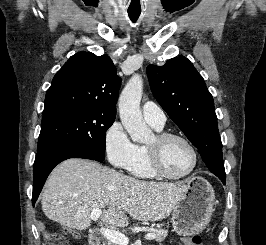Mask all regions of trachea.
Masks as SVG:
<instances>
[{
	"mask_svg": "<svg viewBox=\"0 0 266 245\" xmlns=\"http://www.w3.org/2000/svg\"><path fill=\"white\" fill-rule=\"evenodd\" d=\"M128 15H129L130 19H131L133 22H135V21L138 19L140 13H136V12H128Z\"/></svg>",
	"mask_w": 266,
	"mask_h": 245,
	"instance_id": "trachea-1",
	"label": "trachea"
}]
</instances>
